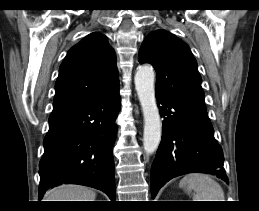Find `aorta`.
<instances>
[{"mask_svg": "<svg viewBox=\"0 0 259 211\" xmlns=\"http://www.w3.org/2000/svg\"><path fill=\"white\" fill-rule=\"evenodd\" d=\"M135 89L144 117L143 147L147 154H153L161 141L162 124L155 98V73L148 65L137 68Z\"/></svg>", "mask_w": 259, "mask_h": 211, "instance_id": "1", "label": "aorta"}]
</instances>
